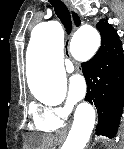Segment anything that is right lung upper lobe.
<instances>
[{"label":"right lung upper lobe","instance_id":"obj_1","mask_svg":"<svg viewBox=\"0 0 124 149\" xmlns=\"http://www.w3.org/2000/svg\"><path fill=\"white\" fill-rule=\"evenodd\" d=\"M73 18H74L76 25L78 26L80 24V20H79L78 16L76 14H73Z\"/></svg>","mask_w":124,"mask_h":149}]
</instances>
